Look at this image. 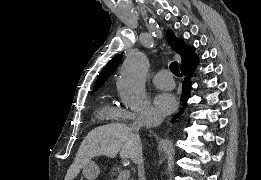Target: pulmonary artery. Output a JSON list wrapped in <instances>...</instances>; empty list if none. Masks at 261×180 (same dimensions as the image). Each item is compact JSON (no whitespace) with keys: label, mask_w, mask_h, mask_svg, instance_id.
<instances>
[{"label":"pulmonary artery","mask_w":261,"mask_h":180,"mask_svg":"<svg viewBox=\"0 0 261 180\" xmlns=\"http://www.w3.org/2000/svg\"><path fill=\"white\" fill-rule=\"evenodd\" d=\"M152 82L161 88H172L174 85L172 74L168 70H161L152 77Z\"/></svg>","instance_id":"e3ab8cb5"}]
</instances>
